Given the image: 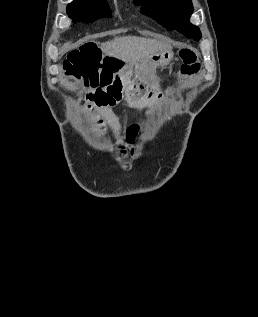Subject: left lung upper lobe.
Segmentation results:
<instances>
[{
    "mask_svg": "<svg viewBox=\"0 0 258 317\" xmlns=\"http://www.w3.org/2000/svg\"><path fill=\"white\" fill-rule=\"evenodd\" d=\"M137 5L144 4L141 12L154 18L164 27L183 33L198 41L201 32L198 27L189 23L193 12L191 0H135Z\"/></svg>",
    "mask_w": 258,
    "mask_h": 317,
    "instance_id": "obj_1",
    "label": "left lung upper lobe"
}]
</instances>
